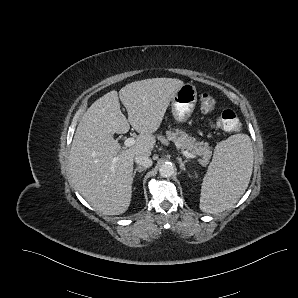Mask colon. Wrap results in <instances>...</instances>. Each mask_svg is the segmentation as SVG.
<instances>
[{"label": "colon", "mask_w": 298, "mask_h": 298, "mask_svg": "<svg viewBox=\"0 0 298 298\" xmlns=\"http://www.w3.org/2000/svg\"><path fill=\"white\" fill-rule=\"evenodd\" d=\"M201 110L205 113L211 112L215 107L214 98L208 93H202L199 96ZM214 125L228 132H237L240 127V121L233 110L222 111L214 120Z\"/></svg>", "instance_id": "colon-1"}]
</instances>
